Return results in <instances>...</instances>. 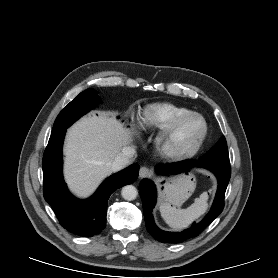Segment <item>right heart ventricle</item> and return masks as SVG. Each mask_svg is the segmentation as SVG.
Wrapping results in <instances>:
<instances>
[{
  "mask_svg": "<svg viewBox=\"0 0 278 278\" xmlns=\"http://www.w3.org/2000/svg\"><path fill=\"white\" fill-rule=\"evenodd\" d=\"M189 112L192 111L172 103H152L143 109L140 124L143 128L165 130L175 120Z\"/></svg>",
  "mask_w": 278,
  "mask_h": 278,
  "instance_id": "obj_1",
  "label": "right heart ventricle"
}]
</instances>
